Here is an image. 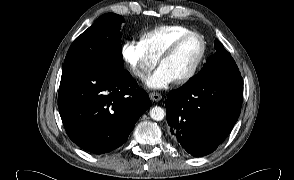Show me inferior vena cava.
Listing matches in <instances>:
<instances>
[{
	"mask_svg": "<svg viewBox=\"0 0 294 180\" xmlns=\"http://www.w3.org/2000/svg\"><path fill=\"white\" fill-rule=\"evenodd\" d=\"M138 75H139V76H141V77H143V74H141V73H140V74H138Z\"/></svg>",
	"mask_w": 294,
	"mask_h": 180,
	"instance_id": "inferior-vena-cava-1",
	"label": "inferior vena cava"
}]
</instances>
